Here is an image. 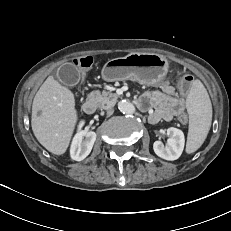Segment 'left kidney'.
<instances>
[{"label":"left kidney","mask_w":231,"mask_h":231,"mask_svg":"<svg viewBox=\"0 0 231 231\" xmlns=\"http://www.w3.org/2000/svg\"><path fill=\"white\" fill-rule=\"evenodd\" d=\"M166 132L169 136L167 144L163 145L161 141H155L153 150L160 158L173 161L181 156L184 149L185 137L180 129L174 127L168 128Z\"/></svg>","instance_id":"obj_1"}]
</instances>
